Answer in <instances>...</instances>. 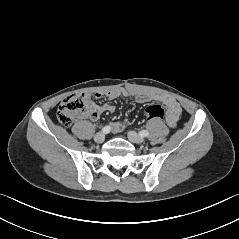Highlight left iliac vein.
Returning a JSON list of instances; mask_svg holds the SVG:
<instances>
[{
	"instance_id": "1",
	"label": "left iliac vein",
	"mask_w": 239,
	"mask_h": 239,
	"mask_svg": "<svg viewBox=\"0 0 239 239\" xmlns=\"http://www.w3.org/2000/svg\"><path fill=\"white\" fill-rule=\"evenodd\" d=\"M127 137L129 139V141L134 143V144H140V143H142L144 141V139L142 137H140L134 131H129L128 134H127Z\"/></svg>"
}]
</instances>
